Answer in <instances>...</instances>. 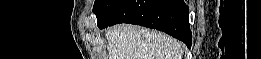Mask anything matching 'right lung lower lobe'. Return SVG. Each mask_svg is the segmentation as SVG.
<instances>
[{
	"mask_svg": "<svg viewBox=\"0 0 261 59\" xmlns=\"http://www.w3.org/2000/svg\"><path fill=\"white\" fill-rule=\"evenodd\" d=\"M119 23L157 29L191 46L189 9L183 0H118L97 17L100 29Z\"/></svg>",
	"mask_w": 261,
	"mask_h": 59,
	"instance_id": "obj_1",
	"label": "right lung lower lobe"
}]
</instances>
